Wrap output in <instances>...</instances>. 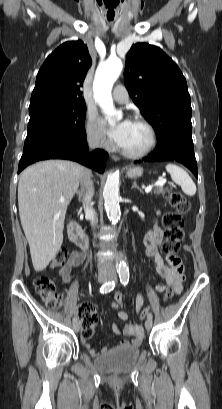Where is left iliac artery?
Masks as SVG:
<instances>
[{
  "instance_id": "obj_1",
  "label": "left iliac artery",
  "mask_w": 222,
  "mask_h": 409,
  "mask_svg": "<svg viewBox=\"0 0 222 409\" xmlns=\"http://www.w3.org/2000/svg\"><path fill=\"white\" fill-rule=\"evenodd\" d=\"M119 277H120V281L121 283L125 286L128 284L129 282V270L128 268L125 267H120L119 268ZM147 318L148 319H152L153 315L151 313L147 314Z\"/></svg>"
}]
</instances>
